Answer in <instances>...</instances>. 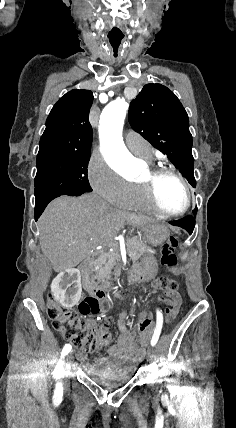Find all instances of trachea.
Segmentation results:
<instances>
[{
	"label": "trachea",
	"mask_w": 236,
	"mask_h": 428,
	"mask_svg": "<svg viewBox=\"0 0 236 428\" xmlns=\"http://www.w3.org/2000/svg\"><path fill=\"white\" fill-rule=\"evenodd\" d=\"M107 40L111 47V53L113 59L119 58V53L122 50L123 41L125 40V35L122 33V29L118 27L117 24H114L113 27L110 28L109 33L107 35Z\"/></svg>",
	"instance_id": "obj_1"
}]
</instances>
